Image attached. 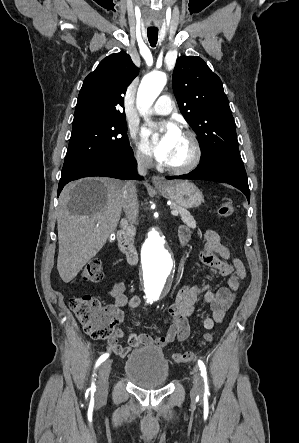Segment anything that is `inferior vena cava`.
<instances>
[{
  "instance_id": "obj_1",
  "label": "inferior vena cava",
  "mask_w": 299,
  "mask_h": 443,
  "mask_svg": "<svg viewBox=\"0 0 299 443\" xmlns=\"http://www.w3.org/2000/svg\"><path fill=\"white\" fill-rule=\"evenodd\" d=\"M136 160L139 174L146 175L147 170L152 166V158L144 154H137ZM122 196L124 212L130 222H135L139 212V204L134 182L128 181L124 184Z\"/></svg>"
}]
</instances>
